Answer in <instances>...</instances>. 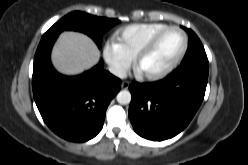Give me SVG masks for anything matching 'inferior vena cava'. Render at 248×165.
<instances>
[{"instance_id": "obj_1", "label": "inferior vena cava", "mask_w": 248, "mask_h": 165, "mask_svg": "<svg viewBox=\"0 0 248 165\" xmlns=\"http://www.w3.org/2000/svg\"><path fill=\"white\" fill-rule=\"evenodd\" d=\"M109 71H110V73H112L113 75H115V76H117V77H119L121 79H124V78L127 77V71L123 67L110 66Z\"/></svg>"}]
</instances>
